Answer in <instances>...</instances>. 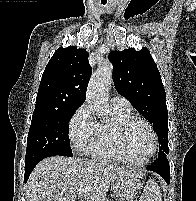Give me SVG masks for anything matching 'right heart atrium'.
<instances>
[{"mask_svg": "<svg viewBox=\"0 0 196 201\" xmlns=\"http://www.w3.org/2000/svg\"><path fill=\"white\" fill-rule=\"evenodd\" d=\"M68 131L73 150L78 154H89L97 138L98 123L88 104H82L71 116Z\"/></svg>", "mask_w": 196, "mask_h": 201, "instance_id": "obj_1", "label": "right heart atrium"}]
</instances>
